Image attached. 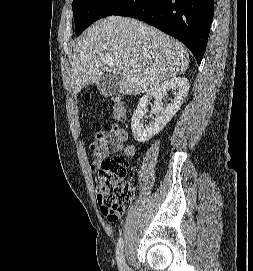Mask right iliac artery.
<instances>
[{
    "label": "right iliac artery",
    "mask_w": 253,
    "mask_h": 271,
    "mask_svg": "<svg viewBox=\"0 0 253 271\" xmlns=\"http://www.w3.org/2000/svg\"><path fill=\"white\" fill-rule=\"evenodd\" d=\"M123 238L120 237L117 243V248H116V260L118 267L120 271H125V261H124V255H123Z\"/></svg>",
    "instance_id": "82829eb1"
}]
</instances>
